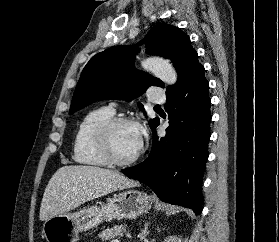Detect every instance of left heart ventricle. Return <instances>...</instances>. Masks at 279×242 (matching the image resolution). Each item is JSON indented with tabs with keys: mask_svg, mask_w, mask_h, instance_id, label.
I'll use <instances>...</instances> for the list:
<instances>
[{
	"mask_svg": "<svg viewBox=\"0 0 279 242\" xmlns=\"http://www.w3.org/2000/svg\"><path fill=\"white\" fill-rule=\"evenodd\" d=\"M140 146V130L133 125H121L112 134V148L119 159L133 156Z\"/></svg>",
	"mask_w": 279,
	"mask_h": 242,
	"instance_id": "b2bd125f",
	"label": "left heart ventricle"
}]
</instances>
